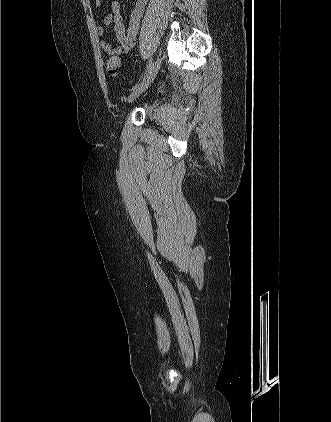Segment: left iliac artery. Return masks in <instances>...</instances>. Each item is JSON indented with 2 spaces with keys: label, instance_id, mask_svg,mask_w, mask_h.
I'll use <instances>...</instances> for the list:
<instances>
[{
  "label": "left iliac artery",
  "instance_id": "44dca946",
  "mask_svg": "<svg viewBox=\"0 0 331 422\" xmlns=\"http://www.w3.org/2000/svg\"><path fill=\"white\" fill-rule=\"evenodd\" d=\"M152 59L150 58L149 59V62H148V64H147V67H146V72L151 68V66H152Z\"/></svg>",
  "mask_w": 331,
  "mask_h": 422
}]
</instances>
